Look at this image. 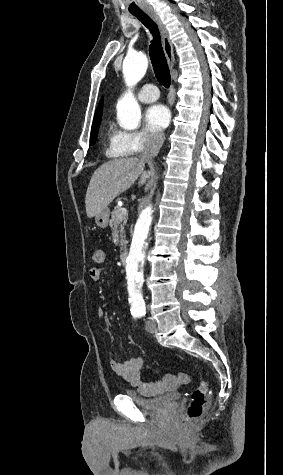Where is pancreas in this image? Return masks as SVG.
Returning a JSON list of instances; mask_svg holds the SVG:
<instances>
[{
    "label": "pancreas",
    "instance_id": "cf45deb5",
    "mask_svg": "<svg viewBox=\"0 0 283 475\" xmlns=\"http://www.w3.org/2000/svg\"><path fill=\"white\" fill-rule=\"evenodd\" d=\"M126 214H123L122 208H119V206H115L111 220H110V226H113V224H119L118 232H120V245H122L121 249H125L127 245V241L125 239V232L123 226H125L126 222H123L125 220Z\"/></svg>",
    "mask_w": 283,
    "mask_h": 475
}]
</instances>
